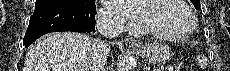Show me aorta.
Returning a JSON list of instances; mask_svg holds the SVG:
<instances>
[{
  "mask_svg": "<svg viewBox=\"0 0 230 71\" xmlns=\"http://www.w3.org/2000/svg\"><path fill=\"white\" fill-rule=\"evenodd\" d=\"M134 61L132 57H126L120 64L118 71H132Z\"/></svg>",
  "mask_w": 230,
  "mask_h": 71,
  "instance_id": "1",
  "label": "aorta"
}]
</instances>
